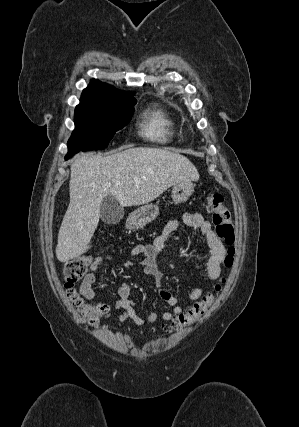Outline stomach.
Masks as SVG:
<instances>
[{
    "instance_id": "stomach-1",
    "label": "stomach",
    "mask_w": 299,
    "mask_h": 427,
    "mask_svg": "<svg viewBox=\"0 0 299 427\" xmlns=\"http://www.w3.org/2000/svg\"><path fill=\"white\" fill-rule=\"evenodd\" d=\"M195 185L191 181H183L173 185L172 200L175 204L186 202L194 192ZM159 214V208L155 204H146L133 211L127 224L132 229L141 228L153 221Z\"/></svg>"
}]
</instances>
